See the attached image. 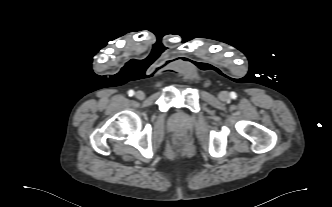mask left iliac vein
<instances>
[{
	"instance_id": "obj_1",
	"label": "left iliac vein",
	"mask_w": 332,
	"mask_h": 207,
	"mask_svg": "<svg viewBox=\"0 0 332 207\" xmlns=\"http://www.w3.org/2000/svg\"><path fill=\"white\" fill-rule=\"evenodd\" d=\"M229 98V94L226 91H222L219 93V99L222 101H226Z\"/></svg>"
}]
</instances>
